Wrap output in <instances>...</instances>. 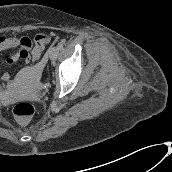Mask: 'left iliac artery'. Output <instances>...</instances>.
I'll use <instances>...</instances> for the list:
<instances>
[{"label":"left iliac artery","mask_w":172,"mask_h":172,"mask_svg":"<svg viewBox=\"0 0 172 172\" xmlns=\"http://www.w3.org/2000/svg\"><path fill=\"white\" fill-rule=\"evenodd\" d=\"M57 47H58V49H59V50H61V49L63 48V43H62V42H60V43L58 44V46H57Z\"/></svg>","instance_id":"44dca946"}]
</instances>
